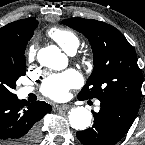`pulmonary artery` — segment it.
Masks as SVG:
<instances>
[{
    "mask_svg": "<svg viewBox=\"0 0 145 145\" xmlns=\"http://www.w3.org/2000/svg\"><path fill=\"white\" fill-rule=\"evenodd\" d=\"M75 52H76V48H71V49H69L68 51H67V53L68 54H70V55H73V54H75ZM33 91V88H31V87H23V88H21L20 90H19V92H20V95L22 96V97H26L29 93H31ZM100 103L99 102H97V105H99Z\"/></svg>",
    "mask_w": 145,
    "mask_h": 145,
    "instance_id": "obj_1",
    "label": "pulmonary artery"
}]
</instances>
